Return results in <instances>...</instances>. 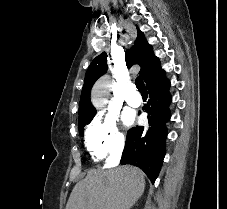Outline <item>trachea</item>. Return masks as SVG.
<instances>
[{
  "label": "trachea",
  "instance_id": "trachea-1",
  "mask_svg": "<svg viewBox=\"0 0 227 209\" xmlns=\"http://www.w3.org/2000/svg\"><path fill=\"white\" fill-rule=\"evenodd\" d=\"M135 84H136L139 92H147V88L145 87L144 82H143L142 78L140 77V75L136 78Z\"/></svg>",
  "mask_w": 227,
  "mask_h": 209
}]
</instances>
